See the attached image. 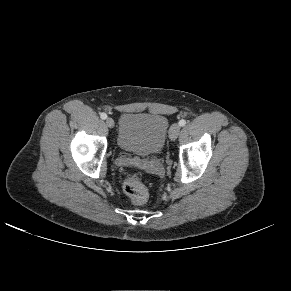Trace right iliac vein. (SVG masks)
<instances>
[{
  "mask_svg": "<svg viewBox=\"0 0 291 291\" xmlns=\"http://www.w3.org/2000/svg\"><path fill=\"white\" fill-rule=\"evenodd\" d=\"M114 120L112 118H107L106 119V125L109 127V128H113L114 127Z\"/></svg>",
  "mask_w": 291,
  "mask_h": 291,
  "instance_id": "1",
  "label": "right iliac vein"
}]
</instances>
